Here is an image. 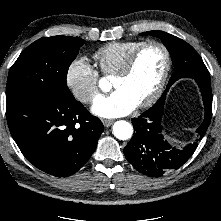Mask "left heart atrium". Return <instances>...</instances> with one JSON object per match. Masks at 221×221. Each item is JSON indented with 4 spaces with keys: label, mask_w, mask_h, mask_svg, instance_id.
<instances>
[{
    "label": "left heart atrium",
    "mask_w": 221,
    "mask_h": 221,
    "mask_svg": "<svg viewBox=\"0 0 221 221\" xmlns=\"http://www.w3.org/2000/svg\"><path fill=\"white\" fill-rule=\"evenodd\" d=\"M137 107V103L132 100L123 90L116 89L107 96H98L92 105L94 114L113 118L124 116Z\"/></svg>",
    "instance_id": "1"
}]
</instances>
